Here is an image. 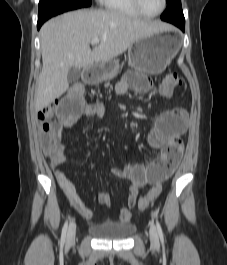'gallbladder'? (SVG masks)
I'll use <instances>...</instances> for the list:
<instances>
[{
  "mask_svg": "<svg viewBox=\"0 0 227 265\" xmlns=\"http://www.w3.org/2000/svg\"><path fill=\"white\" fill-rule=\"evenodd\" d=\"M81 74V70L76 67H72L67 75V79L69 83H75L76 81L79 80Z\"/></svg>",
  "mask_w": 227,
  "mask_h": 265,
  "instance_id": "obj_1",
  "label": "gallbladder"
}]
</instances>
